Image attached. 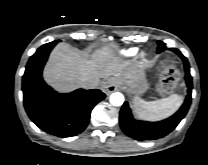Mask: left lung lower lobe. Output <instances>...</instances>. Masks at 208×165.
Wrapping results in <instances>:
<instances>
[{
	"label": "left lung lower lobe",
	"instance_id": "obj_1",
	"mask_svg": "<svg viewBox=\"0 0 208 165\" xmlns=\"http://www.w3.org/2000/svg\"><path fill=\"white\" fill-rule=\"evenodd\" d=\"M166 49V48H165ZM164 49V50H165ZM163 50V51H164ZM171 51L175 52L183 61L185 68V80L188 87V94L185 102L181 108L171 117L159 122H146L135 120L132 116L129 104L126 101L120 111V126L122 130L130 137L142 141V140H154L162 138L175 129L180 121L185 117L191 104L192 93V77L190 75V66L187 58L175 48H171Z\"/></svg>",
	"mask_w": 208,
	"mask_h": 165
}]
</instances>
